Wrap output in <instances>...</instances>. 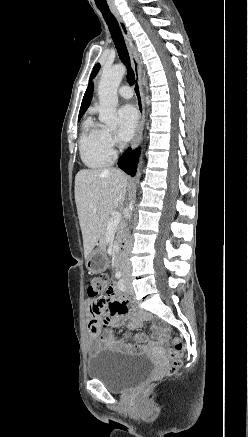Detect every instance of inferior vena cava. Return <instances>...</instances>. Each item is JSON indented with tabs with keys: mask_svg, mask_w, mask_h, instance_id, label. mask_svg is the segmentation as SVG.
<instances>
[{
	"mask_svg": "<svg viewBox=\"0 0 248 437\" xmlns=\"http://www.w3.org/2000/svg\"><path fill=\"white\" fill-rule=\"evenodd\" d=\"M131 246H132V239L130 238L128 240V242L126 243V249H125V253H124V261H123V263H124V266L126 268H130L131 267L130 261H129V252H130Z\"/></svg>",
	"mask_w": 248,
	"mask_h": 437,
	"instance_id": "inferior-vena-cava-1",
	"label": "inferior vena cava"
}]
</instances>
